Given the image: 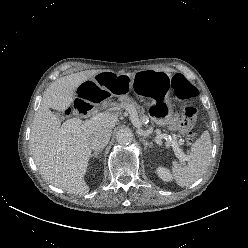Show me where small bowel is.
<instances>
[{
	"label": "small bowel",
	"instance_id": "obj_1",
	"mask_svg": "<svg viewBox=\"0 0 248 248\" xmlns=\"http://www.w3.org/2000/svg\"><path fill=\"white\" fill-rule=\"evenodd\" d=\"M190 123H176L175 127L180 128L183 131H186L190 127Z\"/></svg>",
	"mask_w": 248,
	"mask_h": 248
}]
</instances>
